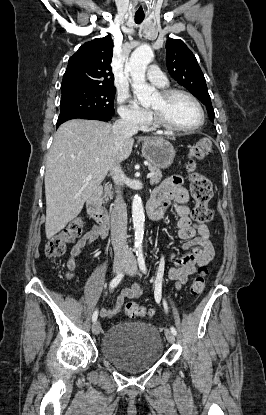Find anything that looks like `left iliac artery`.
<instances>
[{"label": "left iliac artery", "mask_w": 266, "mask_h": 415, "mask_svg": "<svg viewBox=\"0 0 266 415\" xmlns=\"http://www.w3.org/2000/svg\"><path fill=\"white\" fill-rule=\"evenodd\" d=\"M137 257H138V264H139V268L143 273H146L147 269H146V265H145V260H144V256H143V252L139 251L137 252ZM162 278H163V272H161L160 270H158L157 273V278L155 281V290H156V294H160L161 293V287H162ZM163 305H164V309L167 312V304L165 301H163ZM171 332L176 335L177 334V330L175 329V327L171 326L170 327Z\"/></svg>", "instance_id": "left-iliac-artery-1"}]
</instances>
